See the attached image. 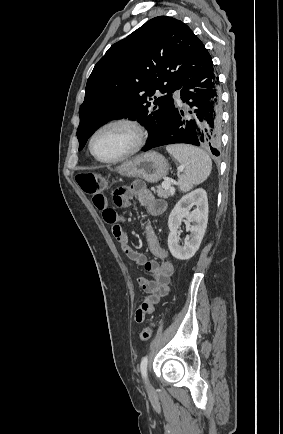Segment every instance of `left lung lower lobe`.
<instances>
[{"mask_svg":"<svg viewBox=\"0 0 283 434\" xmlns=\"http://www.w3.org/2000/svg\"><path fill=\"white\" fill-rule=\"evenodd\" d=\"M181 100L188 110L174 107L169 122L160 136L145 151L154 147L186 143L210 148L219 155L221 137V93L213 63L205 67L180 89Z\"/></svg>","mask_w":283,"mask_h":434,"instance_id":"1","label":"left lung lower lobe"}]
</instances>
